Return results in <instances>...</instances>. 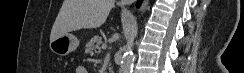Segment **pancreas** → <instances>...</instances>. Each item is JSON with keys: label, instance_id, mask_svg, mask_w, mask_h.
Here are the masks:
<instances>
[{"label": "pancreas", "instance_id": "pancreas-1", "mask_svg": "<svg viewBox=\"0 0 244 73\" xmlns=\"http://www.w3.org/2000/svg\"><path fill=\"white\" fill-rule=\"evenodd\" d=\"M102 44V39L99 36L91 38V40L85 46V53L94 54L101 50L100 45Z\"/></svg>", "mask_w": 244, "mask_h": 73}]
</instances>
